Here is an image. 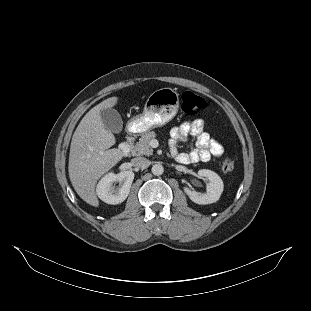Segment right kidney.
I'll return each mask as SVG.
<instances>
[{"label":"right kidney","mask_w":311,"mask_h":311,"mask_svg":"<svg viewBox=\"0 0 311 311\" xmlns=\"http://www.w3.org/2000/svg\"><path fill=\"white\" fill-rule=\"evenodd\" d=\"M133 179L134 173L132 171H124L117 175L114 171H109L99 179L96 185V195L107 204H119L129 195ZM114 180L120 182V186L117 189L111 186Z\"/></svg>","instance_id":"obj_1"}]
</instances>
